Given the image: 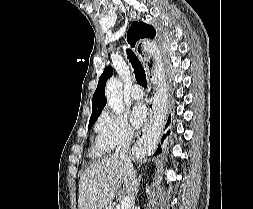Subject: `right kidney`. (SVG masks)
<instances>
[{
  "mask_svg": "<svg viewBox=\"0 0 253 209\" xmlns=\"http://www.w3.org/2000/svg\"><path fill=\"white\" fill-rule=\"evenodd\" d=\"M146 193H150V191H149V189H148V188H146Z\"/></svg>",
  "mask_w": 253,
  "mask_h": 209,
  "instance_id": "1",
  "label": "right kidney"
}]
</instances>
